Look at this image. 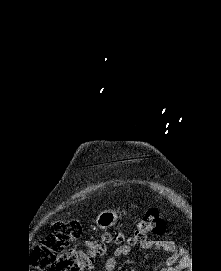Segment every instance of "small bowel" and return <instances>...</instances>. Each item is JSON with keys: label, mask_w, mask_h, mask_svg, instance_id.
<instances>
[{"label": "small bowel", "mask_w": 221, "mask_h": 271, "mask_svg": "<svg viewBox=\"0 0 221 271\" xmlns=\"http://www.w3.org/2000/svg\"><path fill=\"white\" fill-rule=\"evenodd\" d=\"M140 246L143 249L163 250L170 254L167 264L169 268L161 269V271H180L181 266H173L178 260V252L176 250V243L168 239H141ZM131 253V248L128 245L118 247L114 254L104 261L103 271H114L117 265V259L122 256H127Z\"/></svg>", "instance_id": "obj_1"}]
</instances>
